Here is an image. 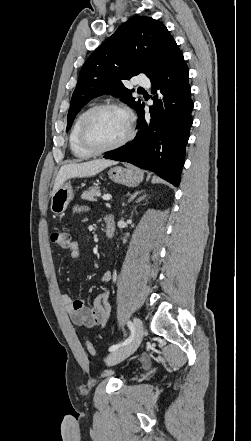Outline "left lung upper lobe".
I'll use <instances>...</instances> for the list:
<instances>
[{
	"label": "left lung upper lobe",
	"instance_id": "left-lung-upper-lobe-1",
	"mask_svg": "<svg viewBox=\"0 0 251 441\" xmlns=\"http://www.w3.org/2000/svg\"><path fill=\"white\" fill-rule=\"evenodd\" d=\"M175 45L165 25L153 18L135 16L123 23L84 63L72 95L66 131L77 113L103 94L121 97L137 110L142 102L132 97L123 81L139 73L152 77Z\"/></svg>",
	"mask_w": 251,
	"mask_h": 441
}]
</instances>
